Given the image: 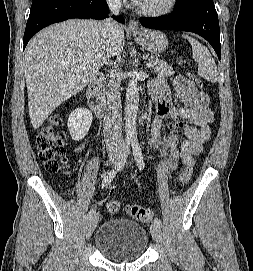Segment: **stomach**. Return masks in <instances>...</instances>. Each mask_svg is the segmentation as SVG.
<instances>
[{
    "instance_id": "1",
    "label": "stomach",
    "mask_w": 253,
    "mask_h": 271,
    "mask_svg": "<svg viewBox=\"0 0 253 271\" xmlns=\"http://www.w3.org/2000/svg\"><path fill=\"white\" fill-rule=\"evenodd\" d=\"M135 40L148 51L159 54L168 47V39L164 33L158 30H143L141 33H133Z\"/></svg>"
}]
</instances>
